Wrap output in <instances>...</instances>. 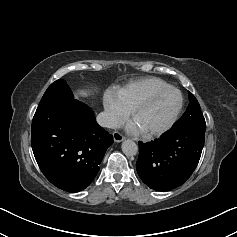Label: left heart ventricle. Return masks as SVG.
I'll list each match as a JSON object with an SVG mask.
<instances>
[{"label": "left heart ventricle", "mask_w": 237, "mask_h": 237, "mask_svg": "<svg viewBox=\"0 0 237 237\" xmlns=\"http://www.w3.org/2000/svg\"><path fill=\"white\" fill-rule=\"evenodd\" d=\"M179 105V95L168 91L140 110L133 124L138 130H154L164 126L172 117Z\"/></svg>", "instance_id": "obj_1"}]
</instances>
